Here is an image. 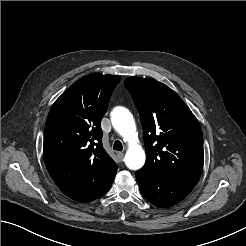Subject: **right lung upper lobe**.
Instances as JSON below:
<instances>
[{
    "label": "right lung upper lobe",
    "mask_w": 246,
    "mask_h": 246,
    "mask_svg": "<svg viewBox=\"0 0 246 246\" xmlns=\"http://www.w3.org/2000/svg\"><path fill=\"white\" fill-rule=\"evenodd\" d=\"M121 78L93 73L70 86L52 105L45 130V165L60 189L114 178L117 165L102 147L100 122Z\"/></svg>",
    "instance_id": "cb5924a9"
}]
</instances>
